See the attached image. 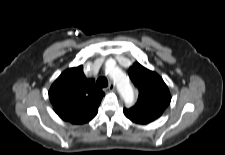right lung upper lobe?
Here are the masks:
<instances>
[{
	"instance_id": "1",
	"label": "right lung upper lobe",
	"mask_w": 225,
	"mask_h": 155,
	"mask_svg": "<svg viewBox=\"0 0 225 155\" xmlns=\"http://www.w3.org/2000/svg\"><path fill=\"white\" fill-rule=\"evenodd\" d=\"M104 92L96 89L95 81L87 79L83 66L65 70L52 84L49 99L57 115L72 124H84L97 112Z\"/></svg>"
}]
</instances>
